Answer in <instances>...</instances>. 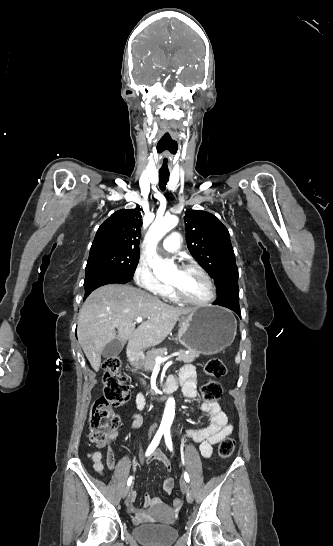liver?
<instances>
[{
  "label": "liver",
  "instance_id": "6515ba94",
  "mask_svg": "<svg viewBox=\"0 0 333 546\" xmlns=\"http://www.w3.org/2000/svg\"><path fill=\"white\" fill-rule=\"evenodd\" d=\"M193 311L167 305L131 285H104L89 295L80 310L78 341L98 371L103 349L110 342L128 341V347L136 351L158 345L180 316ZM137 317L148 321L136 329Z\"/></svg>",
  "mask_w": 333,
  "mask_h": 546
}]
</instances>
